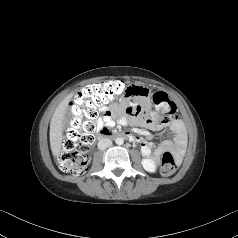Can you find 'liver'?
Here are the masks:
<instances>
[{"mask_svg": "<svg viewBox=\"0 0 238 238\" xmlns=\"http://www.w3.org/2000/svg\"><path fill=\"white\" fill-rule=\"evenodd\" d=\"M73 94L67 95L56 108L50 122V147L54 156H59L63 140V120Z\"/></svg>", "mask_w": 238, "mask_h": 238, "instance_id": "liver-1", "label": "liver"}]
</instances>
